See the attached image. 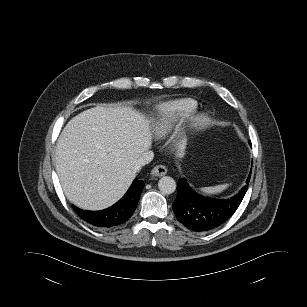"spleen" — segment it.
<instances>
[{"mask_svg":"<svg viewBox=\"0 0 307 307\" xmlns=\"http://www.w3.org/2000/svg\"><path fill=\"white\" fill-rule=\"evenodd\" d=\"M226 187H227V185H219V186H215V187H206V188L202 189V192L207 193V194H214V193L221 192Z\"/></svg>","mask_w":307,"mask_h":307,"instance_id":"1","label":"spleen"}]
</instances>
